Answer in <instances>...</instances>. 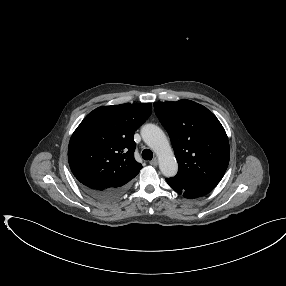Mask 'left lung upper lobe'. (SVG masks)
Masks as SVG:
<instances>
[{
    "mask_svg": "<svg viewBox=\"0 0 286 286\" xmlns=\"http://www.w3.org/2000/svg\"><path fill=\"white\" fill-rule=\"evenodd\" d=\"M178 161L174 179L213 189L224 176L230 149L226 132L206 107L189 100L155 102Z\"/></svg>",
    "mask_w": 286,
    "mask_h": 286,
    "instance_id": "left-lung-upper-lobe-1",
    "label": "left lung upper lobe"
}]
</instances>
